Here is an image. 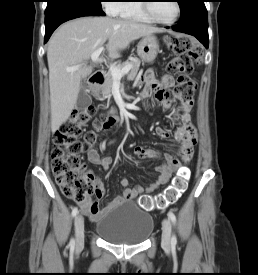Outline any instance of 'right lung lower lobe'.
Here are the masks:
<instances>
[{"label": "right lung lower lobe", "mask_w": 258, "mask_h": 275, "mask_svg": "<svg viewBox=\"0 0 258 275\" xmlns=\"http://www.w3.org/2000/svg\"><path fill=\"white\" fill-rule=\"evenodd\" d=\"M102 8L79 2H63L45 11V42L48 41L53 31L63 22L83 16H104Z\"/></svg>", "instance_id": "1"}]
</instances>
